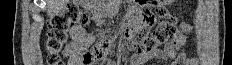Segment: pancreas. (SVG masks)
Wrapping results in <instances>:
<instances>
[{
	"instance_id": "cf45deb5",
	"label": "pancreas",
	"mask_w": 232,
	"mask_h": 65,
	"mask_svg": "<svg viewBox=\"0 0 232 65\" xmlns=\"http://www.w3.org/2000/svg\"><path fill=\"white\" fill-rule=\"evenodd\" d=\"M102 2H104V0H103ZM106 8H107L106 6H103L101 11H102V12H105V11H106Z\"/></svg>"
}]
</instances>
